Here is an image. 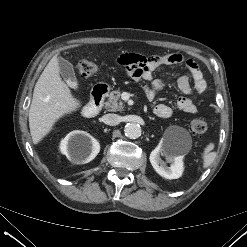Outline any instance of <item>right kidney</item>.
<instances>
[{
    "label": "right kidney",
    "instance_id": "ca27d5eb",
    "mask_svg": "<svg viewBox=\"0 0 247 247\" xmlns=\"http://www.w3.org/2000/svg\"><path fill=\"white\" fill-rule=\"evenodd\" d=\"M75 135H80V136L89 140L90 154H89L88 158L86 159V162L93 160L100 151V144L97 141V139H95L89 133L84 132V131L75 130V131L70 132L64 139H62V141L60 143V151L63 154L68 156V147H69L68 141L72 136H75Z\"/></svg>",
    "mask_w": 247,
    "mask_h": 247
}]
</instances>
